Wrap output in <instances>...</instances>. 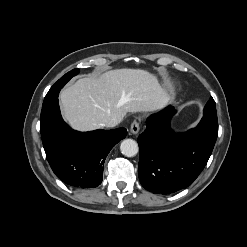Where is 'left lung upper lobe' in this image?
<instances>
[{"mask_svg":"<svg viewBox=\"0 0 247 247\" xmlns=\"http://www.w3.org/2000/svg\"><path fill=\"white\" fill-rule=\"evenodd\" d=\"M200 122L211 127L218 128L216 104L212 97L204 108V116L202 117Z\"/></svg>","mask_w":247,"mask_h":247,"instance_id":"left-lung-upper-lobe-1","label":"left lung upper lobe"}]
</instances>
